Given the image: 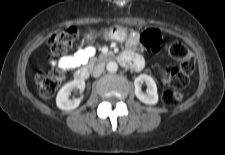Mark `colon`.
<instances>
[{
    "label": "colon",
    "mask_w": 225,
    "mask_h": 155,
    "mask_svg": "<svg viewBox=\"0 0 225 155\" xmlns=\"http://www.w3.org/2000/svg\"><path fill=\"white\" fill-rule=\"evenodd\" d=\"M77 37V28L68 27L61 32L51 35L47 39V45L53 54L62 55L71 49ZM140 40L150 50H158L161 47L160 34L156 30L149 29L144 31ZM165 48L177 64L162 72V79L169 87L163 93L162 100L167 106H174L181 100L182 94L180 90L186 87L195 70V59L188 47L180 41H174ZM63 78L64 69L59 64L53 67L50 72L38 75L37 84L40 95L45 98L52 96Z\"/></svg>",
    "instance_id": "5ec220e1"
}]
</instances>
